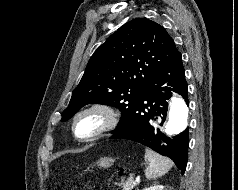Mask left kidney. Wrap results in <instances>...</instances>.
<instances>
[{"instance_id":"left-kidney-1","label":"left kidney","mask_w":238,"mask_h":190,"mask_svg":"<svg viewBox=\"0 0 238 190\" xmlns=\"http://www.w3.org/2000/svg\"><path fill=\"white\" fill-rule=\"evenodd\" d=\"M143 190H164L163 185H154L148 188H144Z\"/></svg>"}]
</instances>
